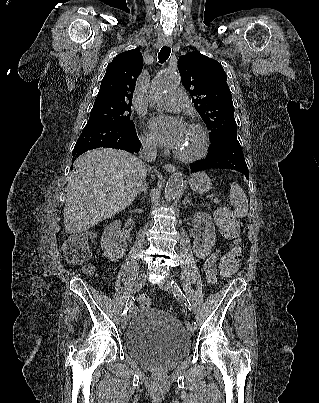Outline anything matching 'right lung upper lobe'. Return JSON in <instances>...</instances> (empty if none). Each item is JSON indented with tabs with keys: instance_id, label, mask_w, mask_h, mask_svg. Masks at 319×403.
<instances>
[{
	"instance_id": "cb5924a9",
	"label": "right lung upper lobe",
	"mask_w": 319,
	"mask_h": 403,
	"mask_svg": "<svg viewBox=\"0 0 319 403\" xmlns=\"http://www.w3.org/2000/svg\"><path fill=\"white\" fill-rule=\"evenodd\" d=\"M142 69L143 58L138 49L117 55L107 66L95 102L131 105L135 83Z\"/></svg>"
}]
</instances>
